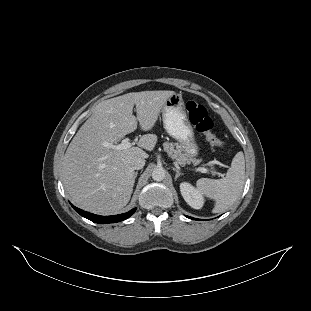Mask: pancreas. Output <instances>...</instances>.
<instances>
[{
  "label": "pancreas",
  "instance_id": "obj_1",
  "mask_svg": "<svg viewBox=\"0 0 311 311\" xmlns=\"http://www.w3.org/2000/svg\"><path fill=\"white\" fill-rule=\"evenodd\" d=\"M164 151L175 161V164L184 166L189 160L182 151L176 150L172 144H164ZM189 162L198 163L196 160H189Z\"/></svg>",
  "mask_w": 311,
  "mask_h": 311
}]
</instances>
